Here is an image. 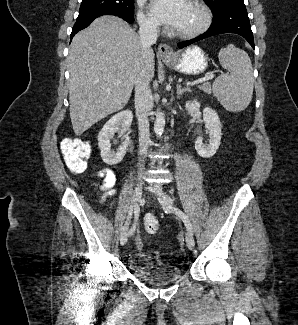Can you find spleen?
<instances>
[{
  "label": "spleen",
  "instance_id": "1",
  "mask_svg": "<svg viewBox=\"0 0 298 325\" xmlns=\"http://www.w3.org/2000/svg\"><path fill=\"white\" fill-rule=\"evenodd\" d=\"M218 58L223 68L229 70V74H220L215 78L212 86L214 96L226 110H245L252 100L254 88L249 54L234 44H227L226 48L219 50Z\"/></svg>",
  "mask_w": 298,
  "mask_h": 325
}]
</instances>
